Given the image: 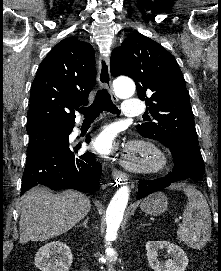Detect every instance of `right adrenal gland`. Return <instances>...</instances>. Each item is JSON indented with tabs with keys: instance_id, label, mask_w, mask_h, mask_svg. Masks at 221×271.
Instances as JSON below:
<instances>
[{
	"instance_id": "right-adrenal-gland-1",
	"label": "right adrenal gland",
	"mask_w": 221,
	"mask_h": 271,
	"mask_svg": "<svg viewBox=\"0 0 221 271\" xmlns=\"http://www.w3.org/2000/svg\"><path fill=\"white\" fill-rule=\"evenodd\" d=\"M88 219H89V217H86V219H84L83 223H80V225H84V227H87V229H88V225H87Z\"/></svg>"
}]
</instances>
